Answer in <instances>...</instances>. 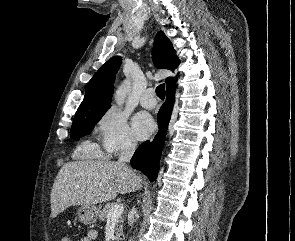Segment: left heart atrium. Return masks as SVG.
Masks as SVG:
<instances>
[{
  "mask_svg": "<svg viewBox=\"0 0 295 241\" xmlns=\"http://www.w3.org/2000/svg\"><path fill=\"white\" fill-rule=\"evenodd\" d=\"M154 129L152 118L146 113H137L132 119V130L139 140L147 138Z\"/></svg>",
  "mask_w": 295,
  "mask_h": 241,
  "instance_id": "obj_1",
  "label": "left heart atrium"
}]
</instances>
